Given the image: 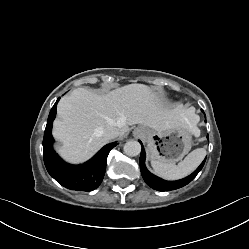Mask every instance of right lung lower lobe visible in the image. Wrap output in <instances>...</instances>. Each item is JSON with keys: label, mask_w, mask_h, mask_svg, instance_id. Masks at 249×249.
Masks as SVG:
<instances>
[{"label": "right lung lower lobe", "mask_w": 249, "mask_h": 249, "mask_svg": "<svg viewBox=\"0 0 249 249\" xmlns=\"http://www.w3.org/2000/svg\"><path fill=\"white\" fill-rule=\"evenodd\" d=\"M52 107L43 139V158L48 173L62 186L71 190L92 191L102 182L107 156L116 142L104 146L92 159L84 164L71 165L64 162L53 150L52 122L56 116V106Z\"/></svg>", "instance_id": "1"}]
</instances>
